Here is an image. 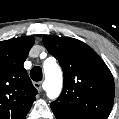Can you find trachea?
I'll return each instance as SVG.
<instances>
[{
    "label": "trachea",
    "instance_id": "obj_1",
    "mask_svg": "<svg viewBox=\"0 0 119 119\" xmlns=\"http://www.w3.org/2000/svg\"><path fill=\"white\" fill-rule=\"evenodd\" d=\"M30 77L33 81H41L42 80V69L38 66L33 67L30 71Z\"/></svg>",
    "mask_w": 119,
    "mask_h": 119
}]
</instances>
